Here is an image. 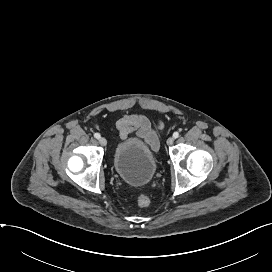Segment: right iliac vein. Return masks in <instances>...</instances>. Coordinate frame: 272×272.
Listing matches in <instances>:
<instances>
[{
	"mask_svg": "<svg viewBox=\"0 0 272 272\" xmlns=\"http://www.w3.org/2000/svg\"><path fill=\"white\" fill-rule=\"evenodd\" d=\"M99 143L102 146H106L107 145V140L104 137H100L99 138Z\"/></svg>",
	"mask_w": 272,
	"mask_h": 272,
	"instance_id": "1",
	"label": "right iliac vein"
}]
</instances>
